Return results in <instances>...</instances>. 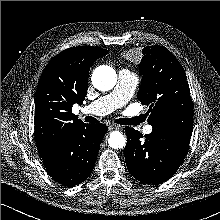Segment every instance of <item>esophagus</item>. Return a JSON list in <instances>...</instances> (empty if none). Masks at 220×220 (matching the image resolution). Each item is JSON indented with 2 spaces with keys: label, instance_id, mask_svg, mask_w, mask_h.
Here are the masks:
<instances>
[{
  "label": "esophagus",
  "instance_id": "esophagus-1",
  "mask_svg": "<svg viewBox=\"0 0 220 220\" xmlns=\"http://www.w3.org/2000/svg\"><path fill=\"white\" fill-rule=\"evenodd\" d=\"M119 128V126L118 125H116V124H109L108 125V129L111 131V130H114V129H118Z\"/></svg>",
  "mask_w": 220,
  "mask_h": 220
}]
</instances>
